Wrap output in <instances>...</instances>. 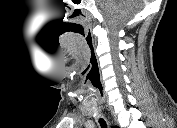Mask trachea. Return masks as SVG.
Listing matches in <instances>:
<instances>
[{
    "mask_svg": "<svg viewBox=\"0 0 177 128\" xmlns=\"http://www.w3.org/2000/svg\"><path fill=\"white\" fill-rule=\"evenodd\" d=\"M99 123L102 128H107L106 122L103 119H99Z\"/></svg>",
    "mask_w": 177,
    "mask_h": 128,
    "instance_id": "1",
    "label": "trachea"
}]
</instances>
